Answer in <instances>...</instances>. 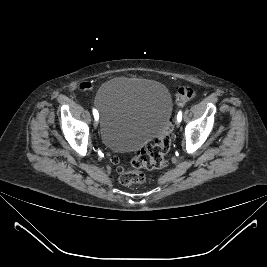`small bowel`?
I'll return each instance as SVG.
<instances>
[{
  "label": "small bowel",
  "mask_w": 267,
  "mask_h": 267,
  "mask_svg": "<svg viewBox=\"0 0 267 267\" xmlns=\"http://www.w3.org/2000/svg\"><path fill=\"white\" fill-rule=\"evenodd\" d=\"M90 87V84L89 83H82L81 85H80V88L82 89V90H86V89H88Z\"/></svg>",
  "instance_id": "obj_1"
}]
</instances>
